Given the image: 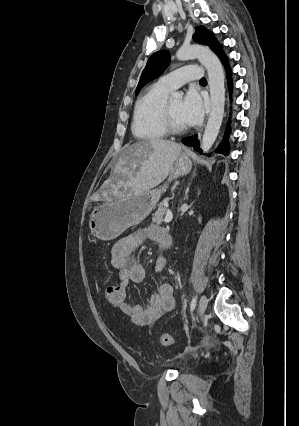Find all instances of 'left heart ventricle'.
<instances>
[{"label": "left heart ventricle", "mask_w": 299, "mask_h": 426, "mask_svg": "<svg viewBox=\"0 0 299 426\" xmlns=\"http://www.w3.org/2000/svg\"><path fill=\"white\" fill-rule=\"evenodd\" d=\"M181 104H182L181 100H173L169 102L172 117L178 125H184L180 116Z\"/></svg>", "instance_id": "left-heart-ventricle-1"}]
</instances>
